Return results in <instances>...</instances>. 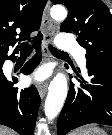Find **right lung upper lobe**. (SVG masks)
<instances>
[{
	"mask_svg": "<svg viewBox=\"0 0 112 135\" xmlns=\"http://www.w3.org/2000/svg\"><path fill=\"white\" fill-rule=\"evenodd\" d=\"M47 0H0V62L10 59L9 46L17 41L30 40V34L39 30ZM42 34L34 37L40 41Z\"/></svg>",
	"mask_w": 112,
	"mask_h": 135,
	"instance_id": "right-lung-upper-lobe-1",
	"label": "right lung upper lobe"
}]
</instances>
